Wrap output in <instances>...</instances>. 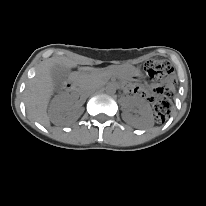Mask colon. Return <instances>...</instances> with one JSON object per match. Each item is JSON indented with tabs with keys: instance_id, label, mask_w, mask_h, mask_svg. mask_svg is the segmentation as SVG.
Masks as SVG:
<instances>
[{
	"instance_id": "obj_1",
	"label": "colon",
	"mask_w": 206,
	"mask_h": 206,
	"mask_svg": "<svg viewBox=\"0 0 206 206\" xmlns=\"http://www.w3.org/2000/svg\"><path fill=\"white\" fill-rule=\"evenodd\" d=\"M143 70L150 81L161 85L150 98L153 102V114L158 122H162L170 113V96L175 82L174 67L168 61L154 59L148 61Z\"/></svg>"
}]
</instances>
